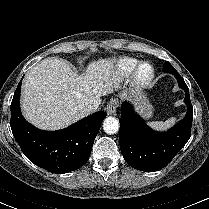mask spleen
I'll list each match as a JSON object with an SVG mask.
<instances>
[{"instance_id":"3e777b00","label":"spleen","mask_w":209,"mask_h":209,"mask_svg":"<svg viewBox=\"0 0 209 209\" xmlns=\"http://www.w3.org/2000/svg\"><path fill=\"white\" fill-rule=\"evenodd\" d=\"M175 122H176V118L171 117L165 122L163 121L149 122L148 125L156 131H164L172 127L175 124Z\"/></svg>"}]
</instances>
